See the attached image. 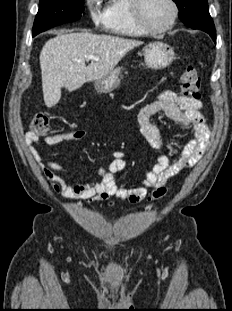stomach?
I'll use <instances>...</instances> for the list:
<instances>
[{
    "label": "stomach",
    "instance_id": "1",
    "mask_svg": "<svg viewBox=\"0 0 232 311\" xmlns=\"http://www.w3.org/2000/svg\"><path fill=\"white\" fill-rule=\"evenodd\" d=\"M144 60L148 68L163 69L169 66L175 59V53L172 47L168 44L156 41L145 46ZM119 69L113 70L107 76L95 80L94 88L98 93H108L119 86L120 80L118 78Z\"/></svg>",
    "mask_w": 232,
    "mask_h": 311
}]
</instances>
